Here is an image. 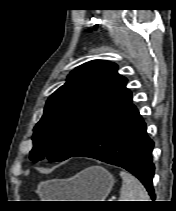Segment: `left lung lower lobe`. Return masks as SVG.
<instances>
[{
	"mask_svg": "<svg viewBox=\"0 0 176 211\" xmlns=\"http://www.w3.org/2000/svg\"><path fill=\"white\" fill-rule=\"evenodd\" d=\"M153 145L139 111L130 103L96 130L71 157L94 158L128 170L144 184L154 200Z\"/></svg>",
	"mask_w": 176,
	"mask_h": 211,
	"instance_id": "obj_1",
	"label": "left lung lower lobe"
}]
</instances>
